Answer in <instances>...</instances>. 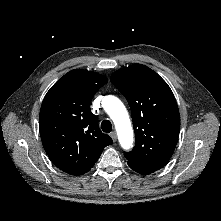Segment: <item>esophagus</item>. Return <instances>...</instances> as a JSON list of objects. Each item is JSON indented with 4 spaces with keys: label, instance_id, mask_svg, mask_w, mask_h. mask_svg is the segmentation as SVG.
<instances>
[{
    "label": "esophagus",
    "instance_id": "1",
    "mask_svg": "<svg viewBox=\"0 0 221 221\" xmlns=\"http://www.w3.org/2000/svg\"><path fill=\"white\" fill-rule=\"evenodd\" d=\"M110 136H111V138H112V140H113L114 142L117 140V134H116V132H112V133L110 134Z\"/></svg>",
    "mask_w": 221,
    "mask_h": 221
}]
</instances>
